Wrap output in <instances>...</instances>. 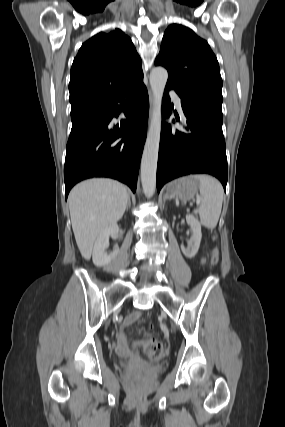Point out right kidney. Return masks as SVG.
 <instances>
[{"label":"right kidney","mask_w":285,"mask_h":427,"mask_svg":"<svg viewBox=\"0 0 285 427\" xmlns=\"http://www.w3.org/2000/svg\"><path fill=\"white\" fill-rule=\"evenodd\" d=\"M119 231V226L117 224H113L99 234L95 241L92 253V260L95 266H109L111 261L118 255L119 248L117 246L114 247V250L110 254L106 253V249L109 246V237L116 235Z\"/></svg>","instance_id":"1"}]
</instances>
